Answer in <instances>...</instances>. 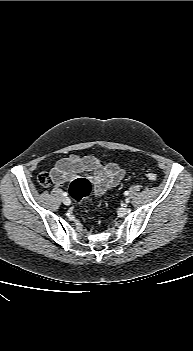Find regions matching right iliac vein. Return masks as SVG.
Listing matches in <instances>:
<instances>
[{
	"label": "right iliac vein",
	"instance_id": "right-iliac-vein-1",
	"mask_svg": "<svg viewBox=\"0 0 193 351\" xmlns=\"http://www.w3.org/2000/svg\"><path fill=\"white\" fill-rule=\"evenodd\" d=\"M63 203H64L65 205H70V204H71L70 198H68V197L63 198Z\"/></svg>",
	"mask_w": 193,
	"mask_h": 351
}]
</instances>
